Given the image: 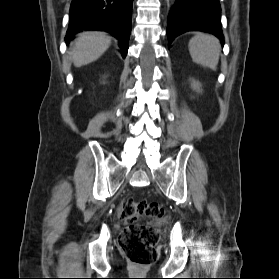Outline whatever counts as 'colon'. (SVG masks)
<instances>
[{
    "label": "colon",
    "instance_id": "1",
    "mask_svg": "<svg viewBox=\"0 0 279 279\" xmlns=\"http://www.w3.org/2000/svg\"><path fill=\"white\" fill-rule=\"evenodd\" d=\"M120 215L126 226L119 237L123 255L136 265H149L157 259L160 232L154 223L164 216V207L157 202L125 200Z\"/></svg>",
    "mask_w": 279,
    "mask_h": 279
}]
</instances>
